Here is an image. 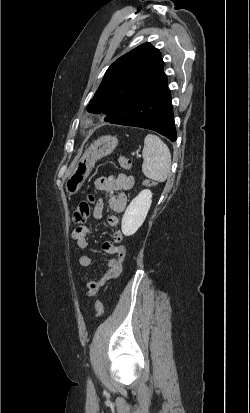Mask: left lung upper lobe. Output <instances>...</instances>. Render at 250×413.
Returning <instances> with one entry per match:
<instances>
[{
  "instance_id": "left-lung-upper-lobe-1",
  "label": "left lung upper lobe",
  "mask_w": 250,
  "mask_h": 413,
  "mask_svg": "<svg viewBox=\"0 0 250 413\" xmlns=\"http://www.w3.org/2000/svg\"><path fill=\"white\" fill-rule=\"evenodd\" d=\"M163 65L160 51L148 42L131 50L107 69L88 111L113 115L131 98L138 84L165 76Z\"/></svg>"
}]
</instances>
